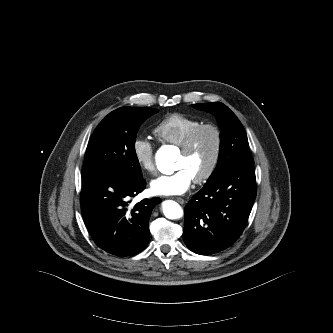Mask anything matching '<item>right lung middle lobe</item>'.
Wrapping results in <instances>:
<instances>
[{"mask_svg":"<svg viewBox=\"0 0 333 333\" xmlns=\"http://www.w3.org/2000/svg\"><path fill=\"white\" fill-rule=\"evenodd\" d=\"M158 109L122 107L108 114L88 144L83 172H118L142 178L135 152L136 133L142 122Z\"/></svg>","mask_w":333,"mask_h":333,"instance_id":"obj_1","label":"right lung middle lobe"}]
</instances>
